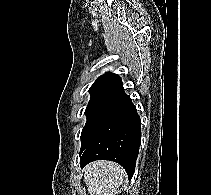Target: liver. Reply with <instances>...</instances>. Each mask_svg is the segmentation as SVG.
Here are the masks:
<instances>
[{
  "label": "liver",
  "instance_id": "obj_1",
  "mask_svg": "<svg viewBox=\"0 0 211 195\" xmlns=\"http://www.w3.org/2000/svg\"><path fill=\"white\" fill-rule=\"evenodd\" d=\"M84 181L90 195H115L126 172L119 164L98 160L84 168Z\"/></svg>",
  "mask_w": 211,
  "mask_h": 195
}]
</instances>
